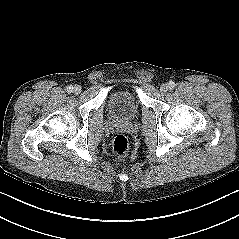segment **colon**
I'll return each instance as SVG.
<instances>
[{
    "mask_svg": "<svg viewBox=\"0 0 239 239\" xmlns=\"http://www.w3.org/2000/svg\"><path fill=\"white\" fill-rule=\"evenodd\" d=\"M112 151L118 158H124L129 153V142L124 135H117L112 143Z\"/></svg>",
    "mask_w": 239,
    "mask_h": 239,
    "instance_id": "colon-1",
    "label": "colon"
}]
</instances>
